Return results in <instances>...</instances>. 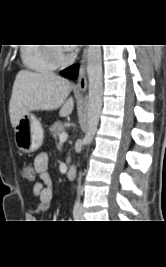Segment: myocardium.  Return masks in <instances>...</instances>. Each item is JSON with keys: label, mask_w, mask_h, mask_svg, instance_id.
<instances>
[{"label": "myocardium", "mask_w": 166, "mask_h": 267, "mask_svg": "<svg viewBox=\"0 0 166 267\" xmlns=\"http://www.w3.org/2000/svg\"><path fill=\"white\" fill-rule=\"evenodd\" d=\"M45 51L48 59L55 66H65L72 60V57L69 54H67L65 51H62L61 47L55 46V44H47V46H45Z\"/></svg>", "instance_id": "1"}]
</instances>
